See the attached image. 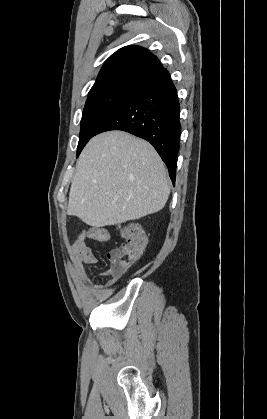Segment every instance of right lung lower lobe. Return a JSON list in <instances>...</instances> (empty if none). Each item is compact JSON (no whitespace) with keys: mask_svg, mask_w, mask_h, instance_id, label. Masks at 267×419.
<instances>
[{"mask_svg":"<svg viewBox=\"0 0 267 419\" xmlns=\"http://www.w3.org/2000/svg\"><path fill=\"white\" fill-rule=\"evenodd\" d=\"M180 105L169 72L162 69L136 88L100 124L94 135L122 130L150 142L165 162L175 184Z\"/></svg>","mask_w":267,"mask_h":419,"instance_id":"1","label":"right lung lower lobe"}]
</instances>
